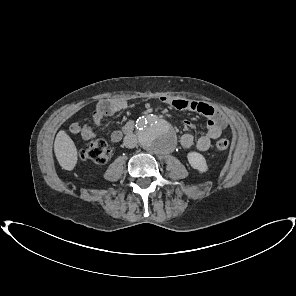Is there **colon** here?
<instances>
[{"label":"colon","mask_w":296,"mask_h":296,"mask_svg":"<svg viewBox=\"0 0 296 296\" xmlns=\"http://www.w3.org/2000/svg\"><path fill=\"white\" fill-rule=\"evenodd\" d=\"M229 146L230 141L226 138L219 139L215 143V149L218 151H225ZM110 157L111 150L108 144L102 139L90 141L80 152V158L82 160L92 161L97 164H105Z\"/></svg>","instance_id":"1"}]
</instances>
